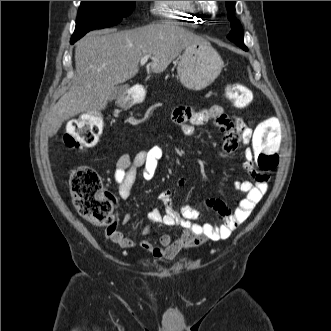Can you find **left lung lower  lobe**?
Instances as JSON below:
<instances>
[{
  "label": "left lung lower lobe",
  "instance_id": "1",
  "mask_svg": "<svg viewBox=\"0 0 331 331\" xmlns=\"http://www.w3.org/2000/svg\"><path fill=\"white\" fill-rule=\"evenodd\" d=\"M243 50H247V48H243Z\"/></svg>",
  "mask_w": 331,
  "mask_h": 331
}]
</instances>
